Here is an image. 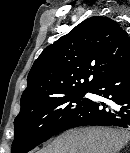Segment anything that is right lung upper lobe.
Returning <instances> with one entry per match:
<instances>
[{"label": "right lung upper lobe", "instance_id": "obj_1", "mask_svg": "<svg viewBox=\"0 0 130 153\" xmlns=\"http://www.w3.org/2000/svg\"><path fill=\"white\" fill-rule=\"evenodd\" d=\"M129 61L128 34L108 17H90L35 60L18 115L70 93L91 91L102 77Z\"/></svg>", "mask_w": 130, "mask_h": 153}]
</instances>
